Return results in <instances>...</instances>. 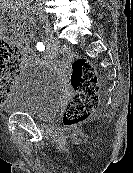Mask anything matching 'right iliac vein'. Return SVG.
I'll return each instance as SVG.
<instances>
[{"mask_svg":"<svg viewBox=\"0 0 133 173\" xmlns=\"http://www.w3.org/2000/svg\"><path fill=\"white\" fill-rule=\"evenodd\" d=\"M37 16H38L40 24L42 25L47 36L49 37V41L51 42L52 38H53L52 27H51V24H50V21H49L47 15L39 10V11H37Z\"/></svg>","mask_w":133,"mask_h":173,"instance_id":"63e3f726","label":"right iliac vein"}]
</instances>
